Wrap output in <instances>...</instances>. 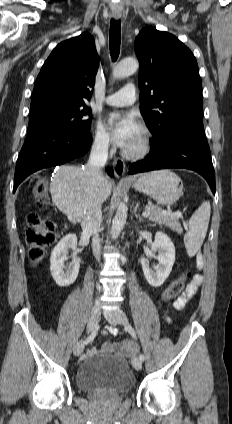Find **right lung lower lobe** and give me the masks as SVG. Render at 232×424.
<instances>
[{"instance_id": "98d812e1", "label": "right lung lower lobe", "mask_w": 232, "mask_h": 424, "mask_svg": "<svg viewBox=\"0 0 232 424\" xmlns=\"http://www.w3.org/2000/svg\"><path fill=\"white\" fill-rule=\"evenodd\" d=\"M91 143L89 132L72 133L54 129L29 131L16 163L13 192L33 172L84 155ZM107 171L111 175V169Z\"/></svg>"}]
</instances>
